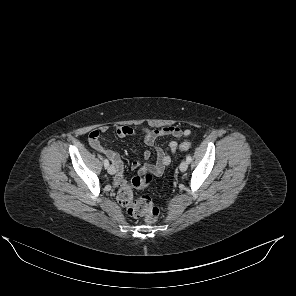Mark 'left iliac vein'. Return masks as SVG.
<instances>
[{"label": "left iliac vein", "instance_id": "left-iliac-vein-1", "mask_svg": "<svg viewBox=\"0 0 296 296\" xmlns=\"http://www.w3.org/2000/svg\"><path fill=\"white\" fill-rule=\"evenodd\" d=\"M187 168H188V162L185 160L182 161L179 166L180 171L185 172Z\"/></svg>", "mask_w": 296, "mask_h": 296}]
</instances>
